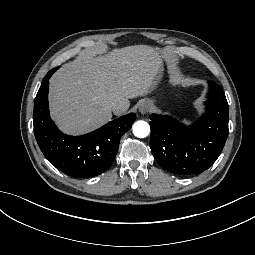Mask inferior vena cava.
<instances>
[{
	"label": "inferior vena cava",
	"mask_w": 255,
	"mask_h": 255,
	"mask_svg": "<svg viewBox=\"0 0 255 255\" xmlns=\"http://www.w3.org/2000/svg\"><path fill=\"white\" fill-rule=\"evenodd\" d=\"M111 110L116 113L120 112L122 110V105L119 102H112L111 104Z\"/></svg>",
	"instance_id": "obj_1"
}]
</instances>
